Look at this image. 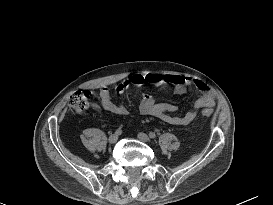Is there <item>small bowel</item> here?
I'll return each mask as SVG.
<instances>
[{
  "label": "small bowel",
  "instance_id": "small-bowel-1",
  "mask_svg": "<svg viewBox=\"0 0 273 205\" xmlns=\"http://www.w3.org/2000/svg\"><path fill=\"white\" fill-rule=\"evenodd\" d=\"M145 83H149L153 86H160L162 84L171 85L174 87V93L177 95L185 94L191 86L196 89L199 95L198 99L182 116L173 115L177 110L176 105L168 102H156L152 95L145 92L142 93L139 106L141 114L157 117L173 125H187L196 118V110L200 108H211L215 105V96L207 84L200 80H193L178 75L134 73L118 84L115 88V92L122 94L129 86L141 87ZM99 95L100 105L96 106L97 109L116 115L128 114V109L125 106L118 105L114 102L112 94L108 89H101Z\"/></svg>",
  "mask_w": 273,
  "mask_h": 205
}]
</instances>
